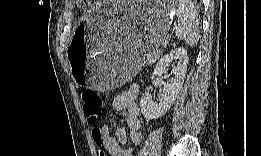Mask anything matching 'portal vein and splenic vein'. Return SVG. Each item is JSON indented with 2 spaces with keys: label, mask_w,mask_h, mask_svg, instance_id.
I'll return each mask as SVG.
<instances>
[{
  "label": "portal vein and splenic vein",
  "mask_w": 261,
  "mask_h": 156,
  "mask_svg": "<svg viewBox=\"0 0 261 156\" xmlns=\"http://www.w3.org/2000/svg\"><path fill=\"white\" fill-rule=\"evenodd\" d=\"M164 44H165V45H167V44H168V40H167V39L164 41Z\"/></svg>",
  "instance_id": "obj_1"
}]
</instances>
